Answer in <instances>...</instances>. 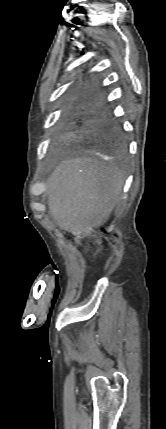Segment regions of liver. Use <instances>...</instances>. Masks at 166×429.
I'll list each match as a JSON object with an SVG mask.
<instances>
[{
    "label": "liver",
    "mask_w": 166,
    "mask_h": 429,
    "mask_svg": "<svg viewBox=\"0 0 166 429\" xmlns=\"http://www.w3.org/2000/svg\"><path fill=\"white\" fill-rule=\"evenodd\" d=\"M124 175L91 158L61 162L46 181L48 208L55 224L75 236L103 225L119 202Z\"/></svg>",
    "instance_id": "1"
}]
</instances>
